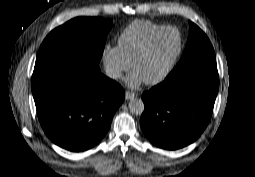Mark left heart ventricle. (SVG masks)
Here are the masks:
<instances>
[{
  "label": "left heart ventricle",
  "mask_w": 255,
  "mask_h": 177,
  "mask_svg": "<svg viewBox=\"0 0 255 177\" xmlns=\"http://www.w3.org/2000/svg\"><path fill=\"white\" fill-rule=\"evenodd\" d=\"M178 48V34L175 31H168L156 39L146 56L135 64L134 70L145 81L154 79L166 68Z\"/></svg>",
  "instance_id": "b2bd125f"
}]
</instances>
